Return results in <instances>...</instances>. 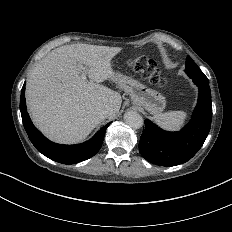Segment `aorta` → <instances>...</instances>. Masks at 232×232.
Segmentation results:
<instances>
[{
  "label": "aorta",
  "instance_id": "aorta-1",
  "mask_svg": "<svg viewBox=\"0 0 232 232\" xmlns=\"http://www.w3.org/2000/svg\"><path fill=\"white\" fill-rule=\"evenodd\" d=\"M124 121L129 127L133 129H139L143 126V118L136 111L126 112L124 114Z\"/></svg>",
  "mask_w": 232,
  "mask_h": 232
}]
</instances>
